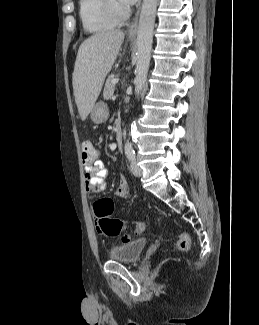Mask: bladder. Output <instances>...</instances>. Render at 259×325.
Here are the masks:
<instances>
[{
    "label": "bladder",
    "instance_id": "obj_1",
    "mask_svg": "<svg viewBox=\"0 0 259 325\" xmlns=\"http://www.w3.org/2000/svg\"><path fill=\"white\" fill-rule=\"evenodd\" d=\"M147 244L148 241L145 238L132 240L111 248L108 255L112 260L115 261L135 263L141 258Z\"/></svg>",
    "mask_w": 259,
    "mask_h": 325
}]
</instances>
